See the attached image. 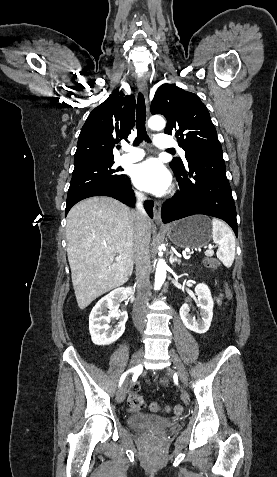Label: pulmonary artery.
Instances as JSON below:
<instances>
[{
	"label": "pulmonary artery",
	"instance_id": "obj_1",
	"mask_svg": "<svg viewBox=\"0 0 277 477\" xmlns=\"http://www.w3.org/2000/svg\"><path fill=\"white\" fill-rule=\"evenodd\" d=\"M156 146L164 149L177 148L181 156H185V151L178 146V144L170 139L167 135L159 134L155 138ZM144 157V151L139 148H127V153L123 154L119 161L121 163H133L141 160Z\"/></svg>",
	"mask_w": 277,
	"mask_h": 477
}]
</instances>
